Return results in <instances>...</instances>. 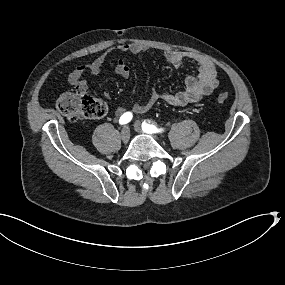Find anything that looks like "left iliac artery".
<instances>
[{"instance_id": "1", "label": "left iliac artery", "mask_w": 285, "mask_h": 285, "mask_svg": "<svg viewBox=\"0 0 285 285\" xmlns=\"http://www.w3.org/2000/svg\"><path fill=\"white\" fill-rule=\"evenodd\" d=\"M142 130L146 133H159V132H162L163 129H158L153 123L152 124H149L147 122H143L142 123Z\"/></svg>"}]
</instances>
